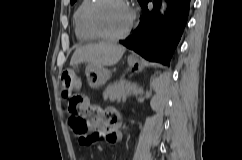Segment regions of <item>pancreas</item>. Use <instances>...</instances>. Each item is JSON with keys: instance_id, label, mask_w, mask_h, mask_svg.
Instances as JSON below:
<instances>
[{"instance_id": "1", "label": "pancreas", "mask_w": 242, "mask_h": 160, "mask_svg": "<svg viewBox=\"0 0 242 160\" xmlns=\"http://www.w3.org/2000/svg\"><path fill=\"white\" fill-rule=\"evenodd\" d=\"M140 93L138 87L135 84H130L125 81H116L113 84L107 86L103 93L104 100L120 102L125 100L127 96L136 95Z\"/></svg>"}]
</instances>
